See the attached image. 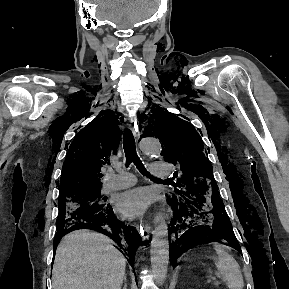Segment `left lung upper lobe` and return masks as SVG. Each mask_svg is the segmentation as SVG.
<instances>
[{
  "label": "left lung upper lobe",
  "mask_w": 289,
  "mask_h": 289,
  "mask_svg": "<svg viewBox=\"0 0 289 289\" xmlns=\"http://www.w3.org/2000/svg\"><path fill=\"white\" fill-rule=\"evenodd\" d=\"M154 116L156 121L149 124L143 136L159 138L163 144L164 159L179 167L174 175L180 176L177 184L180 190H176L177 195L172 197L201 190L205 195L213 191L219 195L212 165L206 157L207 151L192 124L161 107L155 109Z\"/></svg>",
  "instance_id": "left-lung-upper-lobe-1"
}]
</instances>
